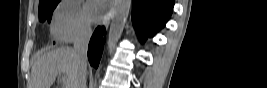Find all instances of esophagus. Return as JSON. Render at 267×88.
I'll return each mask as SVG.
<instances>
[{"label": "esophagus", "instance_id": "obj_1", "mask_svg": "<svg viewBox=\"0 0 267 88\" xmlns=\"http://www.w3.org/2000/svg\"><path fill=\"white\" fill-rule=\"evenodd\" d=\"M111 11L109 13H107V15L105 16L104 21H103V25H105L106 27L109 25L110 20L113 18V16L111 15Z\"/></svg>", "mask_w": 267, "mask_h": 88}]
</instances>
